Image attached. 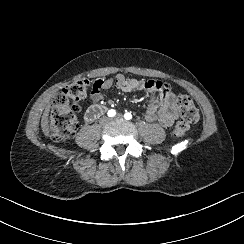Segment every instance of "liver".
Here are the masks:
<instances>
[{
  "mask_svg": "<svg viewBox=\"0 0 244 244\" xmlns=\"http://www.w3.org/2000/svg\"><path fill=\"white\" fill-rule=\"evenodd\" d=\"M49 112H50V106L46 107L43 115H42V119H41V128H42V132L43 134L48 137L49 136V132H50V128H49Z\"/></svg>",
  "mask_w": 244,
  "mask_h": 244,
  "instance_id": "1",
  "label": "liver"
}]
</instances>
